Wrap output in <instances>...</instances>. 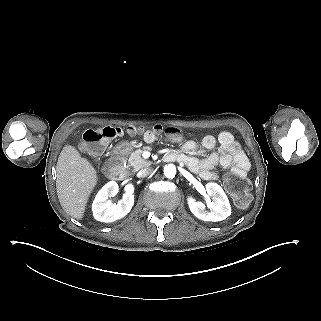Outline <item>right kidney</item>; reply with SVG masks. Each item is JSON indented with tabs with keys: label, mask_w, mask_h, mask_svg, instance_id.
Masks as SVG:
<instances>
[{
	"label": "right kidney",
	"mask_w": 321,
	"mask_h": 321,
	"mask_svg": "<svg viewBox=\"0 0 321 321\" xmlns=\"http://www.w3.org/2000/svg\"><path fill=\"white\" fill-rule=\"evenodd\" d=\"M124 190L123 198L117 204H113L108 197L118 193V184L115 181L105 184L92 204L94 218L101 222H113L126 216L134 205V186L127 184Z\"/></svg>",
	"instance_id": "obj_1"
}]
</instances>
